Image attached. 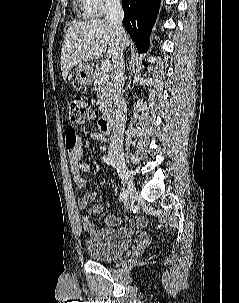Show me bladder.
I'll use <instances>...</instances> for the list:
<instances>
[{"label":"bladder","mask_w":239,"mask_h":303,"mask_svg":"<svg viewBox=\"0 0 239 303\" xmlns=\"http://www.w3.org/2000/svg\"><path fill=\"white\" fill-rule=\"evenodd\" d=\"M131 241L128 239L96 242L86 240V250L93 260L108 261L122 257L129 249Z\"/></svg>","instance_id":"obj_1"}]
</instances>
